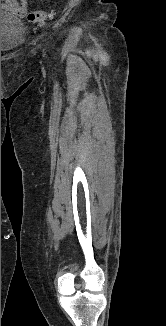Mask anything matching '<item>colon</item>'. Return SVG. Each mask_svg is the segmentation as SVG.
I'll list each match as a JSON object with an SVG mask.
<instances>
[{
	"instance_id": "colon-1",
	"label": "colon",
	"mask_w": 166,
	"mask_h": 326,
	"mask_svg": "<svg viewBox=\"0 0 166 326\" xmlns=\"http://www.w3.org/2000/svg\"><path fill=\"white\" fill-rule=\"evenodd\" d=\"M53 16H54V10H49V11L30 12L27 18L31 22L42 23L47 19H51Z\"/></svg>"
}]
</instances>
